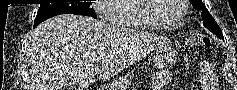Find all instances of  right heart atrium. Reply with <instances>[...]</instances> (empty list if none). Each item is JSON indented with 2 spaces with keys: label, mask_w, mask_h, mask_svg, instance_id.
Masks as SVG:
<instances>
[{
  "label": "right heart atrium",
  "mask_w": 237,
  "mask_h": 90,
  "mask_svg": "<svg viewBox=\"0 0 237 90\" xmlns=\"http://www.w3.org/2000/svg\"><path fill=\"white\" fill-rule=\"evenodd\" d=\"M120 0H98V2H95L94 9L96 12H98V15L101 20H108V14L105 13L106 8H101V6H110L111 3H119Z\"/></svg>",
  "instance_id": "1"
}]
</instances>
